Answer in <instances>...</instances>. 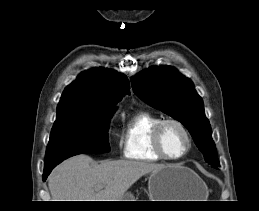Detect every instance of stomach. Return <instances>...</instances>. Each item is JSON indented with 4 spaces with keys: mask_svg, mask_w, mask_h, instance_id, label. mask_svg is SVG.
Wrapping results in <instances>:
<instances>
[{
    "mask_svg": "<svg viewBox=\"0 0 259 211\" xmlns=\"http://www.w3.org/2000/svg\"><path fill=\"white\" fill-rule=\"evenodd\" d=\"M206 193V185L191 169L165 165L148 176V195L151 201H199ZM127 192L120 201H134Z\"/></svg>",
    "mask_w": 259,
    "mask_h": 211,
    "instance_id": "0dacf381",
    "label": "stomach"
}]
</instances>
